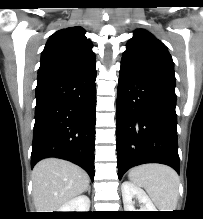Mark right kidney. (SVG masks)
Instances as JSON below:
<instances>
[{
	"instance_id": "1",
	"label": "right kidney",
	"mask_w": 203,
	"mask_h": 219,
	"mask_svg": "<svg viewBox=\"0 0 203 219\" xmlns=\"http://www.w3.org/2000/svg\"><path fill=\"white\" fill-rule=\"evenodd\" d=\"M89 208L90 199L86 195H81L61 206L58 212H89Z\"/></svg>"
}]
</instances>
